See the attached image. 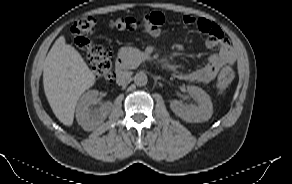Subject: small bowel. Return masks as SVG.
Returning a JSON list of instances; mask_svg holds the SVG:
<instances>
[{"instance_id":"small-bowel-1","label":"small bowel","mask_w":292,"mask_h":184,"mask_svg":"<svg viewBox=\"0 0 292 184\" xmlns=\"http://www.w3.org/2000/svg\"><path fill=\"white\" fill-rule=\"evenodd\" d=\"M162 18L164 22L163 14L155 12ZM183 23L186 25H196L202 32L207 35L205 45L209 49L216 48L217 52L212 54L207 63L196 70L184 73H178L176 76L185 81L210 83L213 81L224 66H231L236 61V54L231 46L229 40L225 37L221 28L214 22L206 18H196L192 15H184ZM161 30L155 36H159Z\"/></svg>"}]
</instances>
